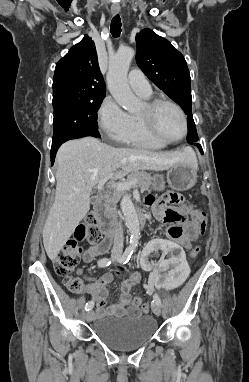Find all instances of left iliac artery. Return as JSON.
<instances>
[{
    "label": "left iliac artery",
    "instance_id": "obj_1",
    "mask_svg": "<svg viewBox=\"0 0 249 382\" xmlns=\"http://www.w3.org/2000/svg\"><path fill=\"white\" fill-rule=\"evenodd\" d=\"M148 291L151 293L153 291V289L149 288ZM153 303H156L158 305H161V299L160 297L158 296V294H154L153 296Z\"/></svg>",
    "mask_w": 249,
    "mask_h": 382
}]
</instances>
